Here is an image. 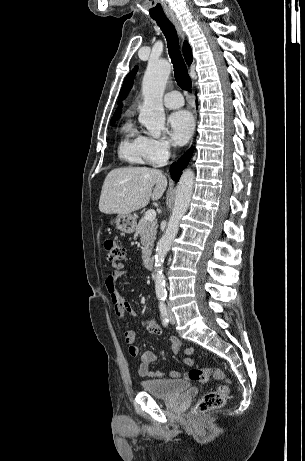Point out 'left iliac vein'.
Listing matches in <instances>:
<instances>
[{
	"instance_id": "1",
	"label": "left iliac vein",
	"mask_w": 305,
	"mask_h": 461,
	"mask_svg": "<svg viewBox=\"0 0 305 461\" xmlns=\"http://www.w3.org/2000/svg\"><path fill=\"white\" fill-rule=\"evenodd\" d=\"M168 314H169V321L171 324H175L176 322V319H175V316L173 314V312L171 311L170 308H168Z\"/></svg>"
}]
</instances>
